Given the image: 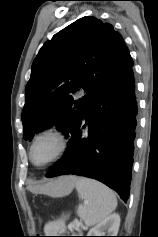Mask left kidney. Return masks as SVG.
<instances>
[{
  "label": "left kidney",
  "instance_id": "left-kidney-1",
  "mask_svg": "<svg viewBox=\"0 0 158 237\" xmlns=\"http://www.w3.org/2000/svg\"><path fill=\"white\" fill-rule=\"evenodd\" d=\"M119 226L120 216L114 213L92 228L87 236H117Z\"/></svg>",
  "mask_w": 158,
  "mask_h": 237
}]
</instances>
